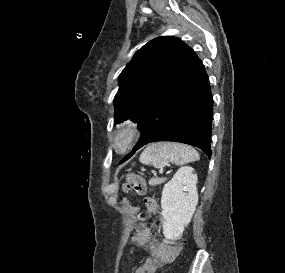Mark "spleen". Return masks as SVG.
<instances>
[{
	"label": "spleen",
	"mask_w": 285,
	"mask_h": 273,
	"mask_svg": "<svg viewBox=\"0 0 285 273\" xmlns=\"http://www.w3.org/2000/svg\"><path fill=\"white\" fill-rule=\"evenodd\" d=\"M200 159L198 152L191 146L173 142H159L148 146L140 156L143 164L162 169L170 162L177 166Z\"/></svg>",
	"instance_id": "obj_1"
}]
</instances>
